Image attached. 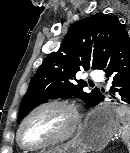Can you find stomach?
Returning <instances> with one entry per match:
<instances>
[{"label": "stomach", "instance_id": "obj_1", "mask_svg": "<svg viewBox=\"0 0 130 153\" xmlns=\"http://www.w3.org/2000/svg\"><path fill=\"white\" fill-rule=\"evenodd\" d=\"M116 106L106 105L92 110L75 137L63 149L46 153H87L104 148L120 127Z\"/></svg>", "mask_w": 130, "mask_h": 153}]
</instances>
